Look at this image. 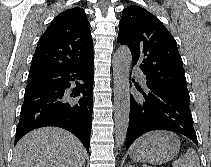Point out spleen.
<instances>
[{
	"instance_id": "spleen-1",
	"label": "spleen",
	"mask_w": 211,
	"mask_h": 167,
	"mask_svg": "<svg viewBox=\"0 0 211 167\" xmlns=\"http://www.w3.org/2000/svg\"><path fill=\"white\" fill-rule=\"evenodd\" d=\"M173 167H200V162L196 151L188 148L186 154L173 162Z\"/></svg>"
}]
</instances>
